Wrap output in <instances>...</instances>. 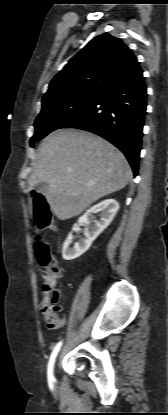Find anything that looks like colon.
I'll return each instance as SVG.
<instances>
[{"mask_svg": "<svg viewBox=\"0 0 168 415\" xmlns=\"http://www.w3.org/2000/svg\"><path fill=\"white\" fill-rule=\"evenodd\" d=\"M34 221L39 230L55 229L52 221V213L45 198L41 195L33 197ZM35 256L47 279L45 284L51 287H57L58 279L61 275L59 263L52 254L48 244L43 242L39 237L34 244Z\"/></svg>", "mask_w": 168, "mask_h": 415, "instance_id": "colon-1", "label": "colon"}]
</instances>
